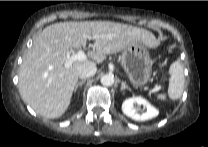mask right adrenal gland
<instances>
[{"label": "right adrenal gland", "instance_id": "right-adrenal-gland-1", "mask_svg": "<svg viewBox=\"0 0 208 147\" xmlns=\"http://www.w3.org/2000/svg\"><path fill=\"white\" fill-rule=\"evenodd\" d=\"M86 82V79H83L82 81L78 82L74 88V92L77 91L78 87H82V85Z\"/></svg>", "mask_w": 208, "mask_h": 147}]
</instances>
